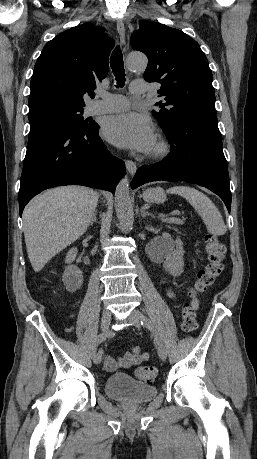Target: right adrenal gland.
Returning <instances> with one entry per match:
<instances>
[{"label": "right adrenal gland", "instance_id": "obj_1", "mask_svg": "<svg viewBox=\"0 0 257 459\" xmlns=\"http://www.w3.org/2000/svg\"><path fill=\"white\" fill-rule=\"evenodd\" d=\"M96 215H97V212L95 211V212L93 213V216H92L90 225H93V223L96 222Z\"/></svg>", "mask_w": 257, "mask_h": 459}]
</instances>
